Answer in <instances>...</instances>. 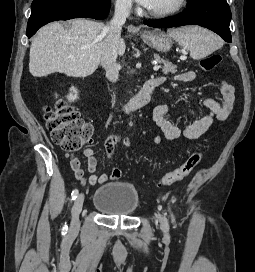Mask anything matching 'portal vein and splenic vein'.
I'll use <instances>...</instances> for the list:
<instances>
[{"instance_id":"1","label":"portal vein and splenic vein","mask_w":255,"mask_h":272,"mask_svg":"<svg viewBox=\"0 0 255 272\" xmlns=\"http://www.w3.org/2000/svg\"><path fill=\"white\" fill-rule=\"evenodd\" d=\"M159 68H160L159 65L155 62V63H154L153 70H154V71H158Z\"/></svg>"}]
</instances>
